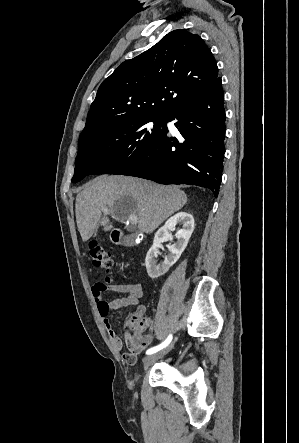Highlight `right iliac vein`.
<instances>
[{"instance_id":"right-iliac-vein-1","label":"right iliac vein","mask_w":299,"mask_h":443,"mask_svg":"<svg viewBox=\"0 0 299 443\" xmlns=\"http://www.w3.org/2000/svg\"><path fill=\"white\" fill-rule=\"evenodd\" d=\"M171 349H172V345L168 346L167 348L163 349L162 351H160L158 353L146 356L144 358V364L145 365L152 364L153 362H155L159 358H162L164 355H166Z\"/></svg>"}]
</instances>
